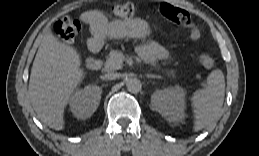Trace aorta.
<instances>
[{
    "label": "aorta",
    "instance_id": "obj_1",
    "mask_svg": "<svg viewBox=\"0 0 259 156\" xmlns=\"http://www.w3.org/2000/svg\"><path fill=\"white\" fill-rule=\"evenodd\" d=\"M127 90L131 93H138L141 88L142 84L141 81L137 78H130L126 83Z\"/></svg>",
    "mask_w": 259,
    "mask_h": 156
}]
</instances>
